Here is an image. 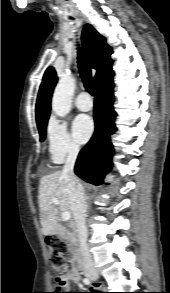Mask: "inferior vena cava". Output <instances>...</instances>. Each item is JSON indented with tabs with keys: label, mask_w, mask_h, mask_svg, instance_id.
<instances>
[{
	"label": "inferior vena cava",
	"mask_w": 170,
	"mask_h": 293,
	"mask_svg": "<svg viewBox=\"0 0 170 293\" xmlns=\"http://www.w3.org/2000/svg\"><path fill=\"white\" fill-rule=\"evenodd\" d=\"M79 153L78 145H71L66 163L63 167L68 193L71 198V206L78 233L80 252L82 255L83 268L85 271L94 269V263L87 245L86 211L87 204L83 186L74 174V165Z\"/></svg>",
	"instance_id": "inferior-vena-cava-1"
}]
</instances>
